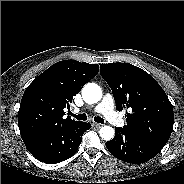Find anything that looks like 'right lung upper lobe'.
Masks as SVG:
<instances>
[{"instance_id": "obj_1", "label": "right lung upper lobe", "mask_w": 184, "mask_h": 184, "mask_svg": "<svg viewBox=\"0 0 184 184\" xmlns=\"http://www.w3.org/2000/svg\"><path fill=\"white\" fill-rule=\"evenodd\" d=\"M99 65L63 60L50 66L26 88L18 111V126L23 141L34 139L74 124L65 118L73 97L97 75Z\"/></svg>"}]
</instances>
